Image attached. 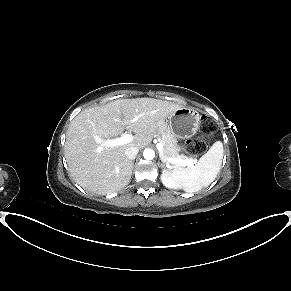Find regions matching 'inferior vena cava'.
<instances>
[{
	"label": "inferior vena cava",
	"instance_id": "inferior-vena-cava-1",
	"mask_svg": "<svg viewBox=\"0 0 291 291\" xmlns=\"http://www.w3.org/2000/svg\"><path fill=\"white\" fill-rule=\"evenodd\" d=\"M138 151H139L138 147H135V146L128 147V148H126V150H125V156H126L129 160H133V159H135V157L137 156Z\"/></svg>",
	"mask_w": 291,
	"mask_h": 291
}]
</instances>
